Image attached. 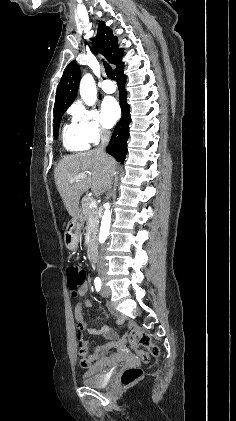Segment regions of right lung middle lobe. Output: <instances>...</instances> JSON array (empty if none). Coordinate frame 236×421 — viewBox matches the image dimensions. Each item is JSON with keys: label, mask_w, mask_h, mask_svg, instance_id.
<instances>
[{"label": "right lung middle lobe", "mask_w": 236, "mask_h": 421, "mask_svg": "<svg viewBox=\"0 0 236 421\" xmlns=\"http://www.w3.org/2000/svg\"><path fill=\"white\" fill-rule=\"evenodd\" d=\"M68 107L60 108L54 110V126H53V134L54 138L57 139L58 137V130L61 122V116L65 113Z\"/></svg>", "instance_id": "1"}]
</instances>
